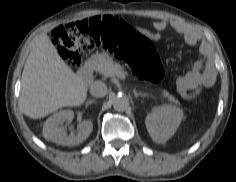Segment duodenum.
<instances>
[{"instance_id":"duodenum-1","label":"duodenum","mask_w":236,"mask_h":182,"mask_svg":"<svg viewBox=\"0 0 236 182\" xmlns=\"http://www.w3.org/2000/svg\"><path fill=\"white\" fill-rule=\"evenodd\" d=\"M80 77L82 81L86 84H90L93 78L92 71L89 67V59L87 60V64L81 68Z\"/></svg>"}]
</instances>
